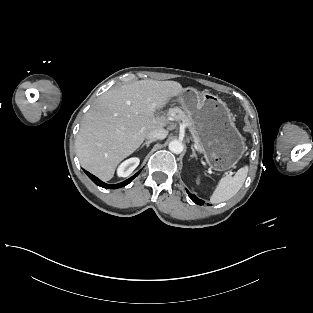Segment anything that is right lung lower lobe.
Here are the masks:
<instances>
[{"mask_svg":"<svg viewBox=\"0 0 313 313\" xmlns=\"http://www.w3.org/2000/svg\"><path fill=\"white\" fill-rule=\"evenodd\" d=\"M84 172L87 174V176L98 186L103 187V188H108V189H117V188H121L126 186L127 184H129L138 174L136 173L134 176H132L131 178L125 180L124 182L118 183V184H114V185H110V184H106L104 182H102L99 178H97L96 176L92 175L91 173H89L88 171L84 170Z\"/></svg>","mask_w":313,"mask_h":313,"instance_id":"obj_1","label":"right lung lower lobe"}]
</instances>
